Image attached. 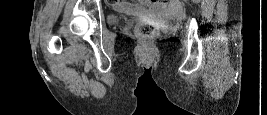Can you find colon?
I'll use <instances>...</instances> for the list:
<instances>
[{"label":"colon","instance_id":"5ec220e1","mask_svg":"<svg viewBox=\"0 0 267 115\" xmlns=\"http://www.w3.org/2000/svg\"><path fill=\"white\" fill-rule=\"evenodd\" d=\"M152 2H167L168 0L165 1H158V0H151ZM159 29L150 24H145L140 26L138 29L135 30V35L143 40V41H151L156 39L159 36Z\"/></svg>","mask_w":267,"mask_h":115}]
</instances>
